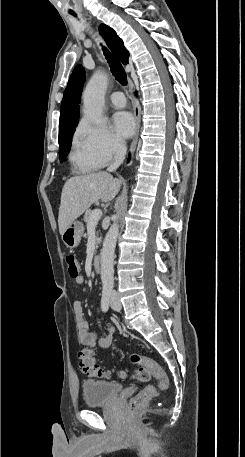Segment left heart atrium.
I'll list each match as a JSON object with an SVG mask.
<instances>
[{
  "label": "left heart atrium",
  "mask_w": 245,
  "mask_h": 457,
  "mask_svg": "<svg viewBox=\"0 0 245 457\" xmlns=\"http://www.w3.org/2000/svg\"><path fill=\"white\" fill-rule=\"evenodd\" d=\"M113 124L118 135L123 138L130 137L135 129L134 119L127 112L116 113L113 116Z\"/></svg>",
  "instance_id": "left-heart-atrium-1"
}]
</instances>
